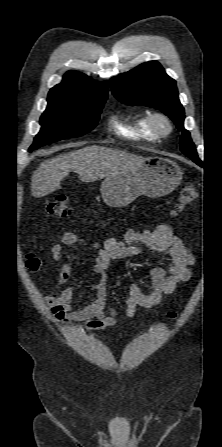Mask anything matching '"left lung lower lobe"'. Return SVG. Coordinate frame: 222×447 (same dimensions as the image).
Instances as JSON below:
<instances>
[{
	"label": "left lung lower lobe",
	"instance_id": "1",
	"mask_svg": "<svg viewBox=\"0 0 222 447\" xmlns=\"http://www.w3.org/2000/svg\"><path fill=\"white\" fill-rule=\"evenodd\" d=\"M193 161L198 164L199 166H202V161L200 159H193Z\"/></svg>",
	"mask_w": 222,
	"mask_h": 447
}]
</instances>
